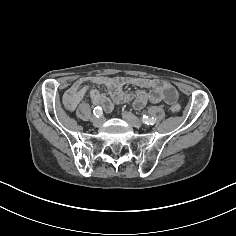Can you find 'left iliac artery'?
Listing matches in <instances>:
<instances>
[{
    "instance_id": "1",
    "label": "left iliac artery",
    "mask_w": 236,
    "mask_h": 236,
    "mask_svg": "<svg viewBox=\"0 0 236 236\" xmlns=\"http://www.w3.org/2000/svg\"><path fill=\"white\" fill-rule=\"evenodd\" d=\"M142 122L147 125H154L156 123V119L153 117H148L146 115H143Z\"/></svg>"
}]
</instances>
